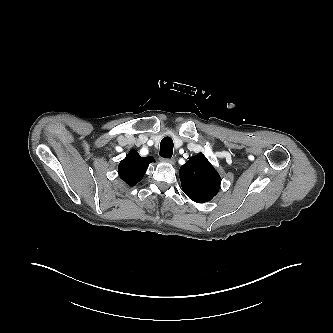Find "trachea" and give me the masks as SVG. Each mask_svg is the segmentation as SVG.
Segmentation results:
<instances>
[{
    "instance_id": "3493384b",
    "label": "trachea",
    "mask_w": 333,
    "mask_h": 333,
    "mask_svg": "<svg viewBox=\"0 0 333 333\" xmlns=\"http://www.w3.org/2000/svg\"><path fill=\"white\" fill-rule=\"evenodd\" d=\"M173 140L170 137H164L160 143L159 155L164 158H171L173 154Z\"/></svg>"
}]
</instances>
